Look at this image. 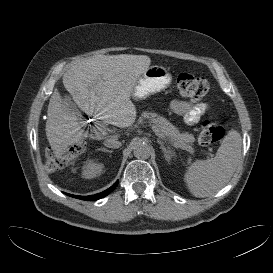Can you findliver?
<instances>
[{"mask_svg":"<svg viewBox=\"0 0 273 273\" xmlns=\"http://www.w3.org/2000/svg\"><path fill=\"white\" fill-rule=\"evenodd\" d=\"M146 55H98L84 58L63 75V84L76 105L88 116L124 128L137 117L131 92L138 78L149 68ZM46 137L56 156L68 147L82 143L84 138L103 139L104 134L91 136L73 111L67 108L58 90L50 97ZM112 137L118 138L115 133Z\"/></svg>","mask_w":273,"mask_h":273,"instance_id":"1","label":"liver"}]
</instances>
